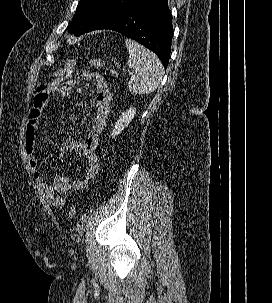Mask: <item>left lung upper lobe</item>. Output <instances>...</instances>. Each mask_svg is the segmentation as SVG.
<instances>
[{
  "mask_svg": "<svg viewBox=\"0 0 272 303\" xmlns=\"http://www.w3.org/2000/svg\"><path fill=\"white\" fill-rule=\"evenodd\" d=\"M141 0H80L68 30L76 36L92 31L99 24Z\"/></svg>",
  "mask_w": 272,
  "mask_h": 303,
  "instance_id": "left-lung-upper-lobe-1",
  "label": "left lung upper lobe"
}]
</instances>
